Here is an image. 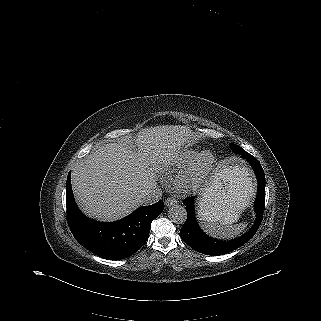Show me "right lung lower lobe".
<instances>
[{
  "label": "right lung lower lobe",
  "mask_w": 321,
  "mask_h": 321,
  "mask_svg": "<svg viewBox=\"0 0 321 321\" xmlns=\"http://www.w3.org/2000/svg\"><path fill=\"white\" fill-rule=\"evenodd\" d=\"M67 221L76 240L94 254L109 260L124 259L147 241L151 222L164 209L158 201L142 206L127 217L110 223H102L83 215L78 209L71 188L70 173L66 184Z\"/></svg>",
  "instance_id": "right-lung-lower-lobe-1"
}]
</instances>
